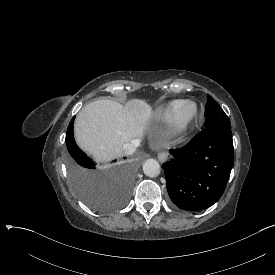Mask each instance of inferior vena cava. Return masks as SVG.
<instances>
[{"label": "inferior vena cava", "instance_id": "obj_1", "mask_svg": "<svg viewBox=\"0 0 275 275\" xmlns=\"http://www.w3.org/2000/svg\"><path fill=\"white\" fill-rule=\"evenodd\" d=\"M122 150L125 155H132L135 152V146L131 143L124 144Z\"/></svg>", "mask_w": 275, "mask_h": 275}]
</instances>
